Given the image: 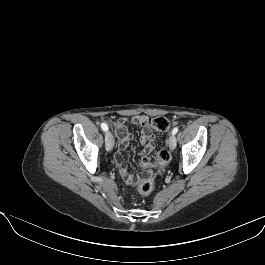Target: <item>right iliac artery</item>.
<instances>
[{
	"instance_id": "1",
	"label": "right iliac artery",
	"mask_w": 265,
	"mask_h": 265,
	"mask_svg": "<svg viewBox=\"0 0 265 265\" xmlns=\"http://www.w3.org/2000/svg\"><path fill=\"white\" fill-rule=\"evenodd\" d=\"M101 128L103 131H107L108 130V126L105 123L101 124Z\"/></svg>"
}]
</instances>
